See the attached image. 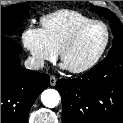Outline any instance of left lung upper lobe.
<instances>
[{
  "label": "left lung upper lobe",
  "instance_id": "1",
  "mask_svg": "<svg viewBox=\"0 0 123 123\" xmlns=\"http://www.w3.org/2000/svg\"><path fill=\"white\" fill-rule=\"evenodd\" d=\"M92 11H95L98 15L104 16L112 23L111 29L114 35L113 46L110 49L108 56L123 51V28L119 19L109 10L102 7H92Z\"/></svg>",
  "mask_w": 123,
  "mask_h": 123
}]
</instances>
